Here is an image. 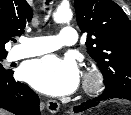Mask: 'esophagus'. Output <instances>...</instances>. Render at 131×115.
<instances>
[{
  "instance_id": "obj_1",
  "label": "esophagus",
  "mask_w": 131,
  "mask_h": 115,
  "mask_svg": "<svg viewBox=\"0 0 131 115\" xmlns=\"http://www.w3.org/2000/svg\"><path fill=\"white\" fill-rule=\"evenodd\" d=\"M46 107H47L49 112L55 114V113H57L59 111L60 105L55 100H48L46 102Z\"/></svg>"
}]
</instances>
